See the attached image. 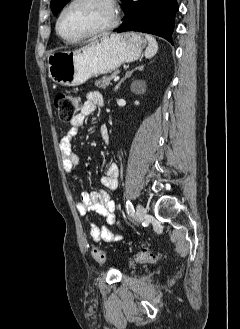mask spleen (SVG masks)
Wrapping results in <instances>:
<instances>
[{"label": "spleen", "instance_id": "spleen-1", "mask_svg": "<svg viewBox=\"0 0 240 329\" xmlns=\"http://www.w3.org/2000/svg\"><path fill=\"white\" fill-rule=\"evenodd\" d=\"M146 39L148 41V46L145 50V57L152 58L158 51V44L156 39L151 35H146Z\"/></svg>", "mask_w": 240, "mask_h": 329}]
</instances>
